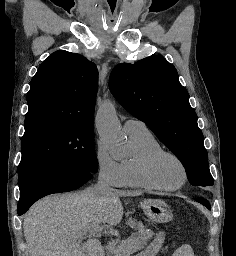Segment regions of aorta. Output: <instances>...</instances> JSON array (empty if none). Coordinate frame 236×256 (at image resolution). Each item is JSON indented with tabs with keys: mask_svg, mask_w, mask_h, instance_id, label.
<instances>
[{
	"mask_svg": "<svg viewBox=\"0 0 236 256\" xmlns=\"http://www.w3.org/2000/svg\"><path fill=\"white\" fill-rule=\"evenodd\" d=\"M96 128L102 141L110 146H121L125 142V135L121 130L112 101L106 100L98 109Z\"/></svg>",
	"mask_w": 236,
	"mask_h": 256,
	"instance_id": "762f6f07",
	"label": "aorta"
}]
</instances>
